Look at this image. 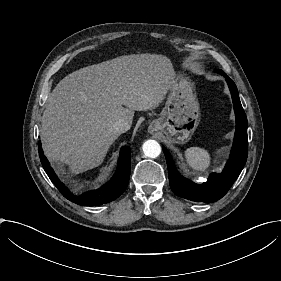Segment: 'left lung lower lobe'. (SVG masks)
Masks as SVG:
<instances>
[{
    "instance_id": "0a47b994",
    "label": "left lung lower lobe",
    "mask_w": 281,
    "mask_h": 281,
    "mask_svg": "<svg viewBox=\"0 0 281 281\" xmlns=\"http://www.w3.org/2000/svg\"><path fill=\"white\" fill-rule=\"evenodd\" d=\"M217 72L226 78L236 115L234 142L230 158L223 172L220 174H211L207 182H204L201 185L195 184L178 173L171 155L163 147L167 161L169 183L172 191L177 196L195 202L212 203L221 199L241 173L248 156L247 118L239 99L237 87L222 70H217Z\"/></svg>"
}]
</instances>
